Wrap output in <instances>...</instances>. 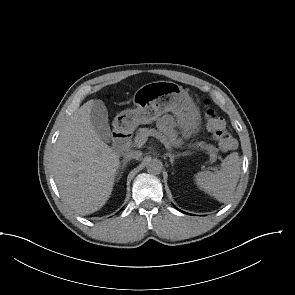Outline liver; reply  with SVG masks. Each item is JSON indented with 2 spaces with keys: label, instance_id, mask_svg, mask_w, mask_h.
I'll list each match as a JSON object with an SVG mask.
<instances>
[{
  "label": "liver",
  "instance_id": "1",
  "mask_svg": "<svg viewBox=\"0 0 295 295\" xmlns=\"http://www.w3.org/2000/svg\"><path fill=\"white\" fill-rule=\"evenodd\" d=\"M93 103L94 100L87 101L68 119L52 156L60 195L80 215L94 213L105 205L120 164L119 156L92 125Z\"/></svg>",
  "mask_w": 295,
  "mask_h": 295
}]
</instances>
